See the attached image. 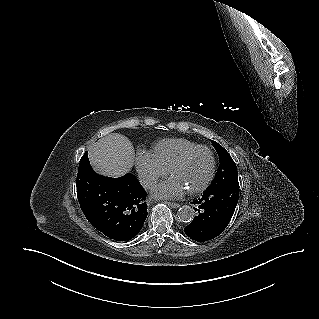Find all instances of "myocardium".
Here are the masks:
<instances>
[{
	"mask_svg": "<svg viewBox=\"0 0 319 319\" xmlns=\"http://www.w3.org/2000/svg\"><path fill=\"white\" fill-rule=\"evenodd\" d=\"M198 151L208 152V154L210 155V158H211V167H210V171H209L208 176L206 177L205 181L201 185H199L198 187L187 191L191 195L198 194V193L204 191L211 184V182L214 178L215 171H216V158H215V155H214V152L212 151V149L207 147V146H204V145H198L196 147L188 149V150L184 151L168 168V173H169V175H171L172 172L176 168L181 166L190 156H192L194 153H196Z\"/></svg>",
	"mask_w": 319,
	"mask_h": 319,
	"instance_id": "myocardium-1",
	"label": "myocardium"
}]
</instances>
